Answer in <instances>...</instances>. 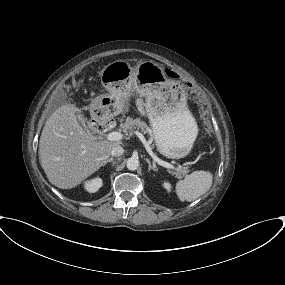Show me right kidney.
Segmentation results:
<instances>
[{"instance_id":"right-kidney-1","label":"right kidney","mask_w":285,"mask_h":285,"mask_svg":"<svg viewBox=\"0 0 285 285\" xmlns=\"http://www.w3.org/2000/svg\"><path fill=\"white\" fill-rule=\"evenodd\" d=\"M102 187V179L101 178H94L90 181L85 183V189L89 193H94L98 191L99 188Z\"/></svg>"}]
</instances>
